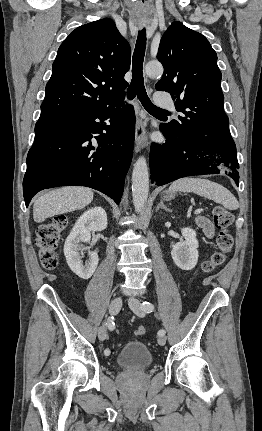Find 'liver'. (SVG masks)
Listing matches in <instances>:
<instances>
[{"mask_svg": "<svg viewBox=\"0 0 262 431\" xmlns=\"http://www.w3.org/2000/svg\"><path fill=\"white\" fill-rule=\"evenodd\" d=\"M93 200V192L85 187H64L52 190L34 200L33 218L35 222L87 206Z\"/></svg>", "mask_w": 262, "mask_h": 431, "instance_id": "obj_1", "label": "liver"}]
</instances>
